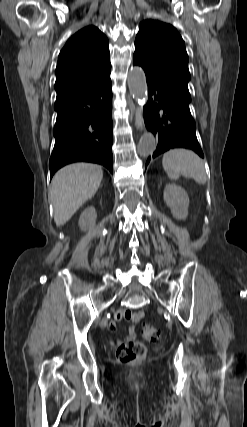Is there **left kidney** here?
Masks as SVG:
<instances>
[{
	"mask_svg": "<svg viewBox=\"0 0 247 427\" xmlns=\"http://www.w3.org/2000/svg\"><path fill=\"white\" fill-rule=\"evenodd\" d=\"M163 198L174 218L179 220L187 218L189 197L185 189L177 184H166Z\"/></svg>",
	"mask_w": 247,
	"mask_h": 427,
	"instance_id": "obj_1",
	"label": "left kidney"
}]
</instances>
